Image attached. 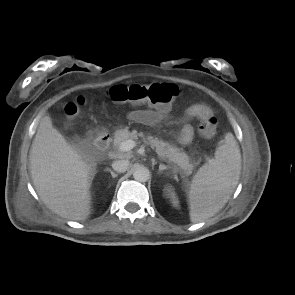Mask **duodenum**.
I'll return each mask as SVG.
<instances>
[{
    "label": "duodenum",
    "instance_id": "duodenum-1",
    "mask_svg": "<svg viewBox=\"0 0 295 295\" xmlns=\"http://www.w3.org/2000/svg\"><path fill=\"white\" fill-rule=\"evenodd\" d=\"M110 142V135L102 132L96 137L94 145L99 152H105L109 148Z\"/></svg>",
    "mask_w": 295,
    "mask_h": 295
}]
</instances>
